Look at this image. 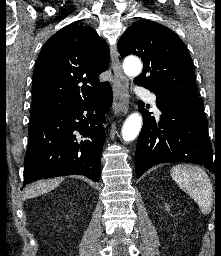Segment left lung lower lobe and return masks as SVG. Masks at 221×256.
<instances>
[{"mask_svg": "<svg viewBox=\"0 0 221 256\" xmlns=\"http://www.w3.org/2000/svg\"><path fill=\"white\" fill-rule=\"evenodd\" d=\"M155 95L162 112L159 121L141 107L143 102H138L144 119L135 154L137 178L165 162L197 163L214 171L203 102L194 97Z\"/></svg>", "mask_w": 221, "mask_h": 256, "instance_id": "left-lung-lower-lobe-1", "label": "left lung lower lobe"}]
</instances>
